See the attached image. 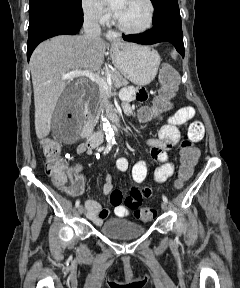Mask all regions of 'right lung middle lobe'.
Wrapping results in <instances>:
<instances>
[{
	"label": "right lung middle lobe",
	"instance_id": "obj_1",
	"mask_svg": "<svg viewBox=\"0 0 240 288\" xmlns=\"http://www.w3.org/2000/svg\"><path fill=\"white\" fill-rule=\"evenodd\" d=\"M29 28L55 14L79 16L83 14L81 0H29Z\"/></svg>",
	"mask_w": 240,
	"mask_h": 288
}]
</instances>
